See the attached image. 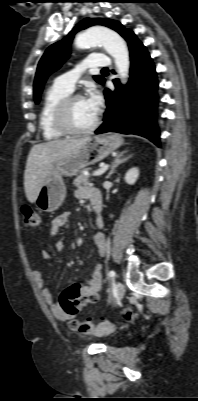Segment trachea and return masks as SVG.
I'll return each instance as SVG.
<instances>
[{
  "instance_id": "1",
  "label": "trachea",
  "mask_w": 198,
  "mask_h": 401,
  "mask_svg": "<svg viewBox=\"0 0 198 401\" xmlns=\"http://www.w3.org/2000/svg\"><path fill=\"white\" fill-rule=\"evenodd\" d=\"M107 70H108V68H103V69H102V71H107Z\"/></svg>"
}]
</instances>
